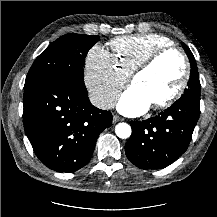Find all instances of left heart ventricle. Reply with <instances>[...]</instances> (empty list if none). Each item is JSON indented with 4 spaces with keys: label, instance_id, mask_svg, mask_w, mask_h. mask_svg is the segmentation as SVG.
I'll use <instances>...</instances> for the list:
<instances>
[{
    "label": "left heart ventricle",
    "instance_id": "obj_1",
    "mask_svg": "<svg viewBox=\"0 0 217 217\" xmlns=\"http://www.w3.org/2000/svg\"><path fill=\"white\" fill-rule=\"evenodd\" d=\"M182 74V60L172 53L160 58L148 71L139 75L133 86L153 104L165 99L177 89Z\"/></svg>",
    "mask_w": 217,
    "mask_h": 217
}]
</instances>
